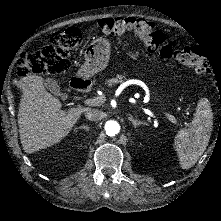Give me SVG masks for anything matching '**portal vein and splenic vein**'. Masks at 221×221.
Masks as SVG:
<instances>
[{"label": "portal vein and splenic vein", "instance_id": "obj_1", "mask_svg": "<svg viewBox=\"0 0 221 221\" xmlns=\"http://www.w3.org/2000/svg\"><path fill=\"white\" fill-rule=\"evenodd\" d=\"M105 100H106V97L104 95H99L98 97H95V98H92V99H86L84 101V103L87 104V105H97V104H101ZM166 117L169 119L170 122L176 124L177 120L173 115L166 114Z\"/></svg>", "mask_w": 221, "mask_h": 221}]
</instances>
